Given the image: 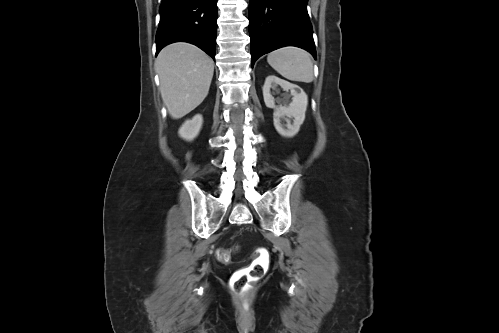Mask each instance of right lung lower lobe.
<instances>
[{"label": "right lung lower lobe", "instance_id": "right-lung-lower-lobe-1", "mask_svg": "<svg viewBox=\"0 0 499 333\" xmlns=\"http://www.w3.org/2000/svg\"><path fill=\"white\" fill-rule=\"evenodd\" d=\"M156 55L173 42L192 43L215 60L217 0H162Z\"/></svg>", "mask_w": 499, "mask_h": 333}]
</instances>
